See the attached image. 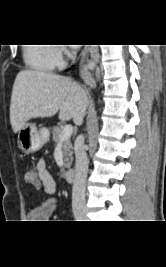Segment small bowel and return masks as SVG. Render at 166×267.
Listing matches in <instances>:
<instances>
[{"label": "small bowel", "instance_id": "small-bowel-1", "mask_svg": "<svg viewBox=\"0 0 166 267\" xmlns=\"http://www.w3.org/2000/svg\"><path fill=\"white\" fill-rule=\"evenodd\" d=\"M38 177L42 180V188L47 195L36 207L28 214L32 222H44L53 216L57 210V200L52 195L56 191V181L52 174L46 169L45 162L40 160L37 164Z\"/></svg>", "mask_w": 166, "mask_h": 267}]
</instances>
